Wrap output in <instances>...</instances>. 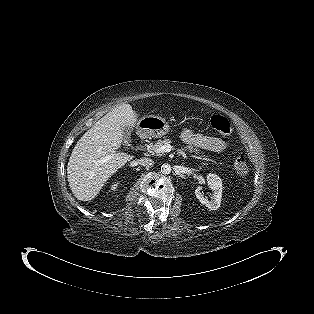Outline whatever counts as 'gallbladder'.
I'll return each instance as SVG.
<instances>
[{
	"label": "gallbladder",
	"mask_w": 314,
	"mask_h": 314,
	"mask_svg": "<svg viewBox=\"0 0 314 314\" xmlns=\"http://www.w3.org/2000/svg\"><path fill=\"white\" fill-rule=\"evenodd\" d=\"M123 137H124V144L129 145L131 143V132L128 128L123 129Z\"/></svg>",
	"instance_id": "bac80fb5"
}]
</instances>
